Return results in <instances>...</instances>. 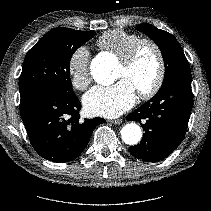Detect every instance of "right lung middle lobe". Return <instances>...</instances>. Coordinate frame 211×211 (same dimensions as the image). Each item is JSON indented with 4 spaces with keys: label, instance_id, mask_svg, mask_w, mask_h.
Here are the masks:
<instances>
[{
    "label": "right lung middle lobe",
    "instance_id": "1",
    "mask_svg": "<svg viewBox=\"0 0 211 211\" xmlns=\"http://www.w3.org/2000/svg\"><path fill=\"white\" fill-rule=\"evenodd\" d=\"M94 35L93 31L64 27L47 32L25 57L19 78L21 99L43 91L63 96L74 95L69 72L70 60L75 50Z\"/></svg>",
    "mask_w": 211,
    "mask_h": 211
}]
</instances>
